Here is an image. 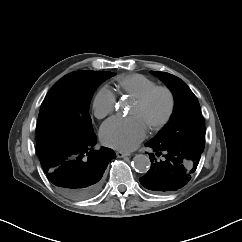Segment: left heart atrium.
Segmentation results:
<instances>
[{"label": "left heart atrium", "instance_id": "39dd6f15", "mask_svg": "<svg viewBox=\"0 0 242 242\" xmlns=\"http://www.w3.org/2000/svg\"><path fill=\"white\" fill-rule=\"evenodd\" d=\"M146 128L134 116H114L100 129L102 142L116 150L131 151L145 138Z\"/></svg>", "mask_w": 242, "mask_h": 242}]
</instances>
